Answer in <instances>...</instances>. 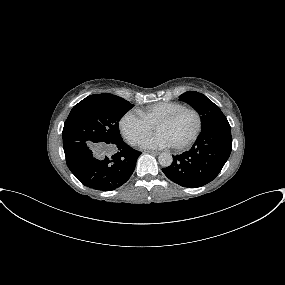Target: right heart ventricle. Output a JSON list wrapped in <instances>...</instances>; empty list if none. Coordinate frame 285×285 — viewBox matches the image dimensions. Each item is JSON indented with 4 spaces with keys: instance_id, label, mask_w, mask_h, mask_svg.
Wrapping results in <instances>:
<instances>
[{
    "instance_id": "right-heart-ventricle-1",
    "label": "right heart ventricle",
    "mask_w": 285,
    "mask_h": 285,
    "mask_svg": "<svg viewBox=\"0 0 285 285\" xmlns=\"http://www.w3.org/2000/svg\"><path fill=\"white\" fill-rule=\"evenodd\" d=\"M181 107H184V105L180 102L162 101L154 103L145 109H140L138 112L150 125L154 126L159 119Z\"/></svg>"
}]
</instances>
